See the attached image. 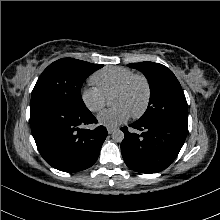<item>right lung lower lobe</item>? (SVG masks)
<instances>
[{
    "label": "right lung lower lobe",
    "mask_w": 220,
    "mask_h": 220,
    "mask_svg": "<svg viewBox=\"0 0 220 220\" xmlns=\"http://www.w3.org/2000/svg\"><path fill=\"white\" fill-rule=\"evenodd\" d=\"M91 123L97 119L88 108L75 109L48 99L31 101L30 126L37 148L60 171L77 172L96 162L108 133L104 126L79 128Z\"/></svg>",
    "instance_id": "98d812e1"
}]
</instances>
